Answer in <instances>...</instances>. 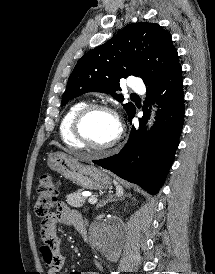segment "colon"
I'll list each match as a JSON object with an SVG mask.
<instances>
[{"instance_id": "obj_1", "label": "colon", "mask_w": 215, "mask_h": 274, "mask_svg": "<svg viewBox=\"0 0 215 274\" xmlns=\"http://www.w3.org/2000/svg\"><path fill=\"white\" fill-rule=\"evenodd\" d=\"M59 189L50 175L44 174L37 187L35 214L38 218L46 219L51 209L57 204Z\"/></svg>"}]
</instances>
